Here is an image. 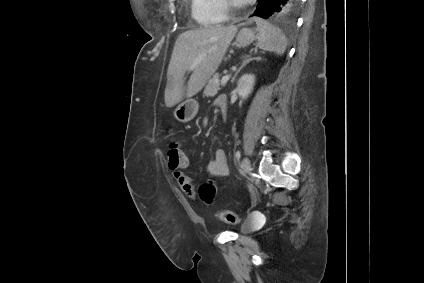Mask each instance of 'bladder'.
Masks as SVG:
<instances>
[{
  "label": "bladder",
  "instance_id": "obj_1",
  "mask_svg": "<svg viewBox=\"0 0 424 283\" xmlns=\"http://www.w3.org/2000/svg\"><path fill=\"white\" fill-rule=\"evenodd\" d=\"M259 228V224L255 217L248 216L240 227V232L242 234H249L256 231Z\"/></svg>",
  "mask_w": 424,
  "mask_h": 283
}]
</instances>
